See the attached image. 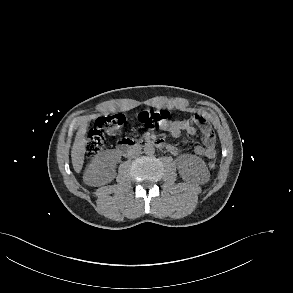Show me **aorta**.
<instances>
[{"mask_svg": "<svg viewBox=\"0 0 293 293\" xmlns=\"http://www.w3.org/2000/svg\"><path fill=\"white\" fill-rule=\"evenodd\" d=\"M144 153L146 154V155H153L154 153H155V148H154V146L153 145H151V144H148V145H146L145 147H144Z\"/></svg>", "mask_w": 293, "mask_h": 293, "instance_id": "762f6f07", "label": "aorta"}]
</instances>
